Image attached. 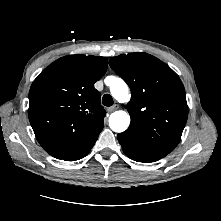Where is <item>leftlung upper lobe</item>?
I'll return each instance as SVG.
<instances>
[{"mask_svg":"<svg viewBox=\"0 0 221 221\" xmlns=\"http://www.w3.org/2000/svg\"><path fill=\"white\" fill-rule=\"evenodd\" d=\"M109 64L131 89V123L123 133L142 151L165 157L179 143L188 117L179 76L147 53L122 54Z\"/></svg>","mask_w":221,"mask_h":221,"instance_id":"obj_1","label":"left lung upper lobe"}]
</instances>
